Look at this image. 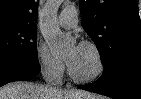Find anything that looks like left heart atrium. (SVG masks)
I'll return each instance as SVG.
<instances>
[{"label":"left heart atrium","instance_id":"39dd6f15","mask_svg":"<svg viewBox=\"0 0 141 99\" xmlns=\"http://www.w3.org/2000/svg\"><path fill=\"white\" fill-rule=\"evenodd\" d=\"M79 49H80V45H77V46H75L73 48L71 58H70V60L68 62H70L76 56V54L78 53Z\"/></svg>","mask_w":141,"mask_h":99}]
</instances>
